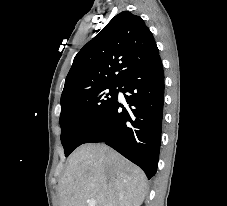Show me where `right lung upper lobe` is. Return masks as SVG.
<instances>
[{"label":"right lung upper lobe","instance_id":"right-lung-upper-lobe-1","mask_svg":"<svg viewBox=\"0 0 227 206\" xmlns=\"http://www.w3.org/2000/svg\"><path fill=\"white\" fill-rule=\"evenodd\" d=\"M158 56L156 42L142 18L123 11L75 56L61 101L87 89L120 84L128 73Z\"/></svg>","mask_w":227,"mask_h":206}]
</instances>
